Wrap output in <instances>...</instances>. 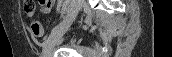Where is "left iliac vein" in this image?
Returning <instances> with one entry per match:
<instances>
[{
    "label": "left iliac vein",
    "instance_id": "obj_1",
    "mask_svg": "<svg viewBox=\"0 0 172 57\" xmlns=\"http://www.w3.org/2000/svg\"><path fill=\"white\" fill-rule=\"evenodd\" d=\"M83 5L82 0H73L69 6V10L63 21L57 25L50 35L46 38L43 46V57H49L54 46L61 38V36L67 31L70 27L79 11L81 10Z\"/></svg>",
    "mask_w": 172,
    "mask_h": 57
}]
</instances>
